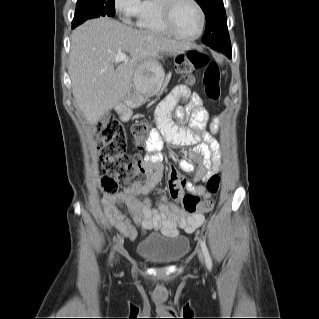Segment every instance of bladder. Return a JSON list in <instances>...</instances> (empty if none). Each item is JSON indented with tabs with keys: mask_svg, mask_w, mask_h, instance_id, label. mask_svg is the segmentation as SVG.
Returning a JSON list of instances; mask_svg holds the SVG:
<instances>
[{
	"mask_svg": "<svg viewBox=\"0 0 319 319\" xmlns=\"http://www.w3.org/2000/svg\"><path fill=\"white\" fill-rule=\"evenodd\" d=\"M184 235H147L137 246L136 253L152 266L172 265L182 259L189 248Z\"/></svg>",
	"mask_w": 319,
	"mask_h": 319,
	"instance_id": "1",
	"label": "bladder"
}]
</instances>
